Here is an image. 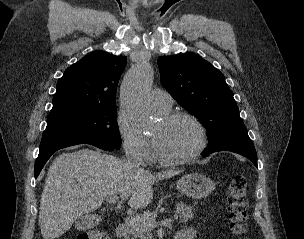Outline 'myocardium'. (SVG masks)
I'll list each match as a JSON object with an SVG mask.
<instances>
[{
  "label": "myocardium",
  "instance_id": "1",
  "mask_svg": "<svg viewBox=\"0 0 304 239\" xmlns=\"http://www.w3.org/2000/svg\"><path fill=\"white\" fill-rule=\"evenodd\" d=\"M179 119H186L193 123L198 130L199 141L197 147L188 155L178 158L165 157L160 155L155 147L154 140L153 145V158L155 161L165 165H181L196 160L205 150L208 144L207 130L204 124L193 114L185 111H176L172 113H166L163 115L162 120L165 123H170Z\"/></svg>",
  "mask_w": 304,
  "mask_h": 239
}]
</instances>
